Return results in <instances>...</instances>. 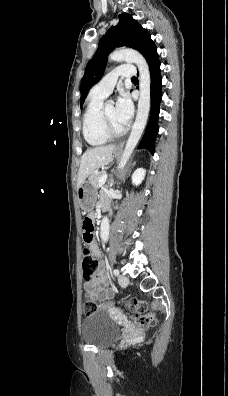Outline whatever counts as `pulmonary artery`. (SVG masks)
Here are the masks:
<instances>
[{"label":"pulmonary artery","mask_w":228,"mask_h":396,"mask_svg":"<svg viewBox=\"0 0 228 396\" xmlns=\"http://www.w3.org/2000/svg\"><path fill=\"white\" fill-rule=\"evenodd\" d=\"M135 76V69L130 65H121L106 74L98 83L94 85L91 92L95 95L106 97L108 96L117 83L119 77L132 78Z\"/></svg>","instance_id":"1"}]
</instances>
